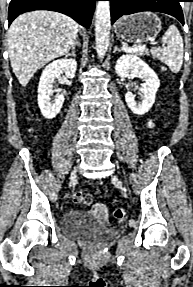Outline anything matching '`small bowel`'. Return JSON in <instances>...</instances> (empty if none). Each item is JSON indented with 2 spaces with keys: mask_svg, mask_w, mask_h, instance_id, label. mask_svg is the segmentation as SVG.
<instances>
[{
  "mask_svg": "<svg viewBox=\"0 0 193 287\" xmlns=\"http://www.w3.org/2000/svg\"><path fill=\"white\" fill-rule=\"evenodd\" d=\"M147 126H148V128H153L154 127V122H153V120L151 119V118H149L148 120H147Z\"/></svg>",
  "mask_w": 193,
  "mask_h": 287,
  "instance_id": "1",
  "label": "small bowel"
}]
</instances>
